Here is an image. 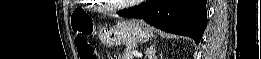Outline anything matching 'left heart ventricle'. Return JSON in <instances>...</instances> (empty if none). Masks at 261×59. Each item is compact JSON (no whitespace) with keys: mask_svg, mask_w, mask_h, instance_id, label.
<instances>
[{"mask_svg":"<svg viewBox=\"0 0 261 59\" xmlns=\"http://www.w3.org/2000/svg\"><path fill=\"white\" fill-rule=\"evenodd\" d=\"M124 2H126V1H114V3L116 4H120V3H124Z\"/></svg>","mask_w":261,"mask_h":59,"instance_id":"obj_1","label":"left heart ventricle"}]
</instances>
